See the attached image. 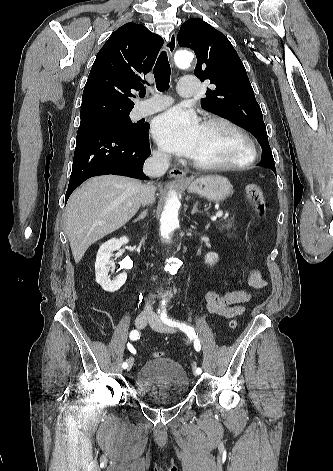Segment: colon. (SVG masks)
Listing matches in <instances>:
<instances>
[{
  "label": "colon",
  "instance_id": "5ec220e1",
  "mask_svg": "<svg viewBox=\"0 0 333 471\" xmlns=\"http://www.w3.org/2000/svg\"><path fill=\"white\" fill-rule=\"evenodd\" d=\"M245 195L248 198V200L252 203L254 206L257 214L260 217H264L266 215V202H265V197L263 194L262 189L256 185V184H247L245 186ZM228 327L231 330L236 329L237 327V321L235 319H232L228 323ZM153 356L155 358H160L163 356L162 352H154Z\"/></svg>",
  "mask_w": 333,
  "mask_h": 471
}]
</instances>
